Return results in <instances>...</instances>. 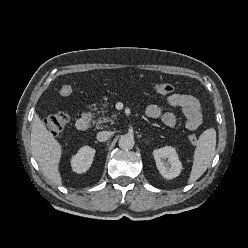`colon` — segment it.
Wrapping results in <instances>:
<instances>
[{"label":"colon","mask_w":248,"mask_h":248,"mask_svg":"<svg viewBox=\"0 0 248 248\" xmlns=\"http://www.w3.org/2000/svg\"><path fill=\"white\" fill-rule=\"evenodd\" d=\"M155 92L159 95H169L173 92V86L170 83H158L154 87ZM73 92L71 85L65 84L60 90L59 94L62 97H69ZM69 121V116L64 112H58L48 116L44 123L48 132L52 135L60 134L65 127L67 126ZM189 141L191 144L195 145L198 141V138L195 134H191L189 136Z\"/></svg>","instance_id":"colon-1"}]
</instances>
